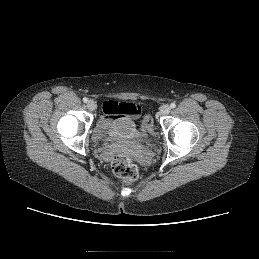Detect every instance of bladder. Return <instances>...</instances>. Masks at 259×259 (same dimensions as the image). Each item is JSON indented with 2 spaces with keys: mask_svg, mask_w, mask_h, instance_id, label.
Masks as SVG:
<instances>
[{
  "mask_svg": "<svg viewBox=\"0 0 259 259\" xmlns=\"http://www.w3.org/2000/svg\"><path fill=\"white\" fill-rule=\"evenodd\" d=\"M135 126L131 120H117L108 134L109 137L114 139L128 138L135 134Z\"/></svg>",
  "mask_w": 259,
  "mask_h": 259,
  "instance_id": "1",
  "label": "bladder"
}]
</instances>
